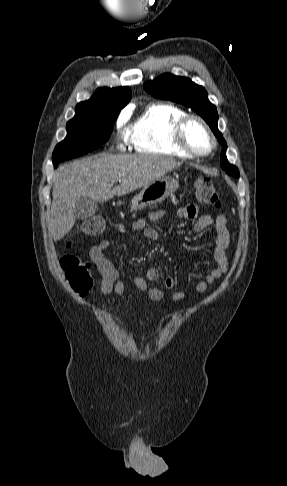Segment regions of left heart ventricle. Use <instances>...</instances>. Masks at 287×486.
I'll list each match as a JSON object with an SVG mask.
<instances>
[{
    "mask_svg": "<svg viewBox=\"0 0 287 486\" xmlns=\"http://www.w3.org/2000/svg\"><path fill=\"white\" fill-rule=\"evenodd\" d=\"M186 139L193 149L200 152L207 151L211 145L209 137L196 122H192L188 125L186 129Z\"/></svg>",
    "mask_w": 287,
    "mask_h": 486,
    "instance_id": "obj_1",
    "label": "left heart ventricle"
}]
</instances>
